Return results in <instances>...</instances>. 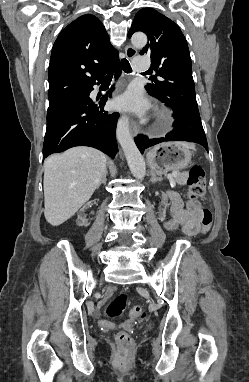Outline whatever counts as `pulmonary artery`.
Returning <instances> with one entry per match:
<instances>
[{"label":"pulmonary artery","instance_id":"e3ab8cb5","mask_svg":"<svg viewBox=\"0 0 249 382\" xmlns=\"http://www.w3.org/2000/svg\"><path fill=\"white\" fill-rule=\"evenodd\" d=\"M133 67L139 71H145L149 69L150 63L146 57H138L133 60Z\"/></svg>","mask_w":249,"mask_h":382}]
</instances>
